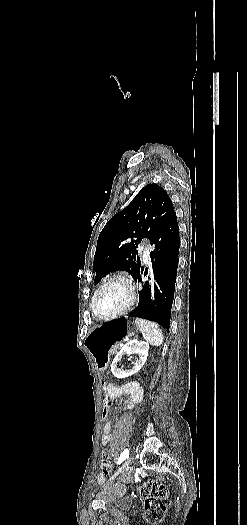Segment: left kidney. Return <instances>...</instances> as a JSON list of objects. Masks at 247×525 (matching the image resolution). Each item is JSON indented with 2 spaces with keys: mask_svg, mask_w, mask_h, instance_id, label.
<instances>
[{
  "mask_svg": "<svg viewBox=\"0 0 247 525\" xmlns=\"http://www.w3.org/2000/svg\"><path fill=\"white\" fill-rule=\"evenodd\" d=\"M148 351L149 345L148 343H145V341H137V339L128 341V343L122 347L121 351H119L118 355H116L111 365V371L113 375H115V377L116 375H125V377H130V375L138 373V371H140L141 367H143L144 363L147 361ZM132 353H137V355H139V361L133 363L134 367H132L131 371H118V369H116V363L120 361L122 355H132Z\"/></svg>",
  "mask_w": 247,
  "mask_h": 525,
  "instance_id": "1",
  "label": "left kidney"
}]
</instances>
